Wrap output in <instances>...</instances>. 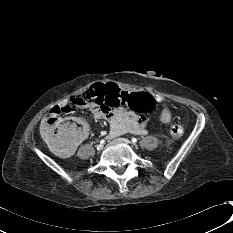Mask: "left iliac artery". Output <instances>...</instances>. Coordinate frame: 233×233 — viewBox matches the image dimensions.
Listing matches in <instances>:
<instances>
[{
  "label": "left iliac artery",
  "instance_id": "1",
  "mask_svg": "<svg viewBox=\"0 0 233 233\" xmlns=\"http://www.w3.org/2000/svg\"><path fill=\"white\" fill-rule=\"evenodd\" d=\"M131 141H132V143L135 144L137 142V139L136 138H132Z\"/></svg>",
  "mask_w": 233,
  "mask_h": 233
}]
</instances>
